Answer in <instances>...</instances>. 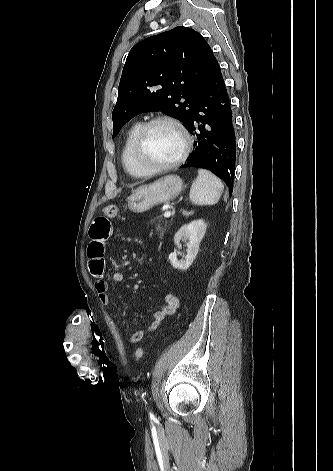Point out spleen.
I'll return each instance as SVG.
<instances>
[{
    "mask_svg": "<svg viewBox=\"0 0 333 471\" xmlns=\"http://www.w3.org/2000/svg\"><path fill=\"white\" fill-rule=\"evenodd\" d=\"M223 191V184L218 177L205 169H198V176L193 182L189 198L198 206L216 204Z\"/></svg>",
    "mask_w": 333,
    "mask_h": 471,
    "instance_id": "obj_1",
    "label": "spleen"
}]
</instances>
